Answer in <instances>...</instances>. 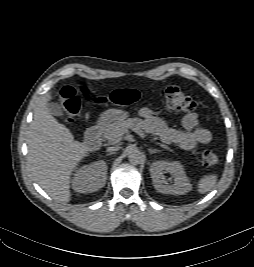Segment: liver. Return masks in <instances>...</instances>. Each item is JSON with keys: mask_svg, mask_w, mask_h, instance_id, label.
<instances>
[{"mask_svg": "<svg viewBox=\"0 0 254 267\" xmlns=\"http://www.w3.org/2000/svg\"><path fill=\"white\" fill-rule=\"evenodd\" d=\"M51 95L41 98L28 131V164L35 181L54 200H71L72 172L91 149L75 141L73 134L49 112Z\"/></svg>", "mask_w": 254, "mask_h": 267, "instance_id": "6515ba94", "label": "liver"}]
</instances>
